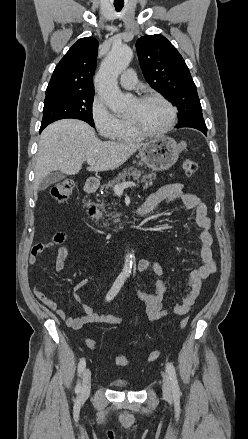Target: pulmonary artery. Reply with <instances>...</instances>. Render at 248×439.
<instances>
[{
  "label": "pulmonary artery",
  "instance_id": "e3ab8cb5",
  "mask_svg": "<svg viewBox=\"0 0 248 439\" xmlns=\"http://www.w3.org/2000/svg\"><path fill=\"white\" fill-rule=\"evenodd\" d=\"M136 83V73L134 70L125 71L120 78V85L125 89H133Z\"/></svg>",
  "mask_w": 248,
  "mask_h": 439
}]
</instances>
